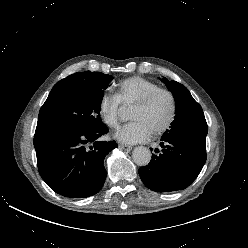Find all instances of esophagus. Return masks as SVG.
<instances>
[{"label": "esophagus", "instance_id": "obj_1", "mask_svg": "<svg viewBox=\"0 0 248 248\" xmlns=\"http://www.w3.org/2000/svg\"><path fill=\"white\" fill-rule=\"evenodd\" d=\"M119 147L121 148V149H124V150H126V151H131L132 150V147L131 146H129V145H126V144H119Z\"/></svg>", "mask_w": 248, "mask_h": 248}]
</instances>
